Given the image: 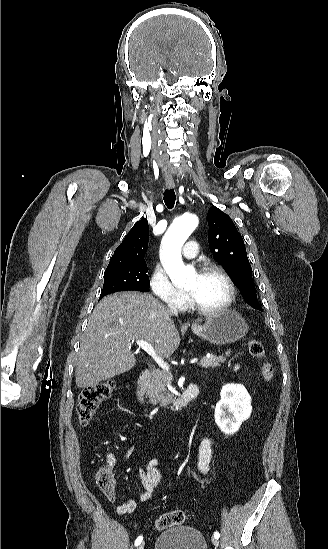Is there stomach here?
I'll return each mask as SVG.
<instances>
[{
	"label": "stomach",
	"mask_w": 328,
	"mask_h": 549,
	"mask_svg": "<svg viewBox=\"0 0 328 549\" xmlns=\"http://www.w3.org/2000/svg\"><path fill=\"white\" fill-rule=\"evenodd\" d=\"M192 331L213 345H227L243 339L248 333V325L238 311L225 309L207 317L204 325H193Z\"/></svg>",
	"instance_id": "1"
}]
</instances>
